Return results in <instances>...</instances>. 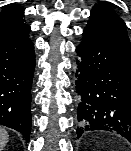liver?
Returning a JSON list of instances; mask_svg holds the SVG:
<instances>
[{
	"instance_id": "liver-1",
	"label": "liver",
	"mask_w": 131,
	"mask_h": 151,
	"mask_svg": "<svg viewBox=\"0 0 131 151\" xmlns=\"http://www.w3.org/2000/svg\"><path fill=\"white\" fill-rule=\"evenodd\" d=\"M8 140H9V135L7 131L0 127V151H2L3 148L6 146Z\"/></svg>"
}]
</instances>
